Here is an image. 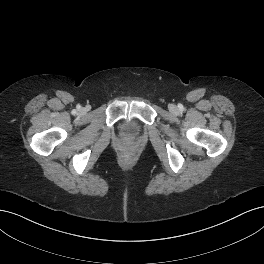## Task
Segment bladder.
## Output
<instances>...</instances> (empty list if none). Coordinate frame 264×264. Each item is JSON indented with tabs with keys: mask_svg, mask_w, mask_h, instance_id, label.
<instances>
[{
	"mask_svg": "<svg viewBox=\"0 0 264 264\" xmlns=\"http://www.w3.org/2000/svg\"><path fill=\"white\" fill-rule=\"evenodd\" d=\"M140 130V124L136 120H124L121 124L122 133L129 138L137 136Z\"/></svg>",
	"mask_w": 264,
	"mask_h": 264,
	"instance_id": "bladder-1",
	"label": "bladder"
}]
</instances>
